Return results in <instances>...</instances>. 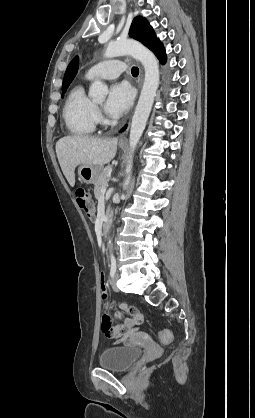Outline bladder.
<instances>
[{
	"mask_svg": "<svg viewBox=\"0 0 255 418\" xmlns=\"http://www.w3.org/2000/svg\"><path fill=\"white\" fill-rule=\"evenodd\" d=\"M141 351L132 346H118L106 349L99 356V365L113 371H126L140 357Z\"/></svg>",
	"mask_w": 255,
	"mask_h": 418,
	"instance_id": "bladder-1",
	"label": "bladder"
}]
</instances>
